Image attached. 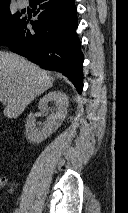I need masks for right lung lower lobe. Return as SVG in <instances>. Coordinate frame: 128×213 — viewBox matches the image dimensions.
<instances>
[{
  "instance_id": "98d812e1",
  "label": "right lung lower lobe",
  "mask_w": 128,
  "mask_h": 213,
  "mask_svg": "<svg viewBox=\"0 0 128 213\" xmlns=\"http://www.w3.org/2000/svg\"><path fill=\"white\" fill-rule=\"evenodd\" d=\"M38 9V20L27 28L22 19L15 30L0 45L39 63L46 69L66 75L79 93L83 89V53L76 34L77 8L74 0H30Z\"/></svg>"
}]
</instances>
